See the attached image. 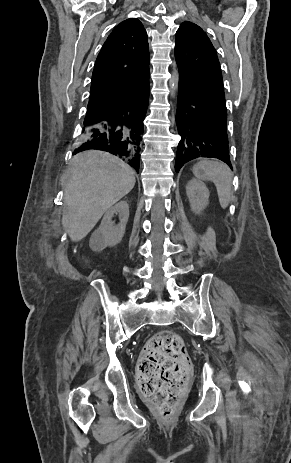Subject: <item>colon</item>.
<instances>
[{
    "instance_id": "obj_1",
    "label": "colon",
    "mask_w": 291,
    "mask_h": 463,
    "mask_svg": "<svg viewBox=\"0 0 291 463\" xmlns=\"http://www.w3.org/2000/svg\"><path fill=\"white\" fill-rule=\"evenodd\" d=\"M189 373L184 341L174 332L157 333L143 349L138 362L141 392L157 405L162 418L172 417Z\"/></svg>"
}]
</instances>
